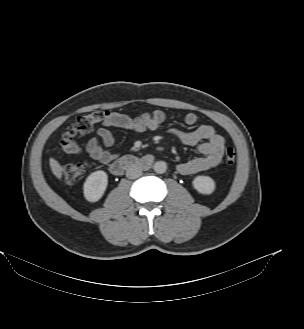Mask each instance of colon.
<instances>
[{"label":"colon","instance_id":"obj_1","mask_svg":"<svg viewBox=\"0 0 304 329\" xmlns=\"http://www.w3.org/2000/svg\"><path fill=\"white\" fill-rule=\"evenodd\" d=\"M108 112L96 111L91 114L78 117L75 122L63 133L60 140V149L65 154H76L80 151L77 138L90 132L95 126L103 123ZM226 163L234 164L236 160V152L232 148H228L225 154ZM85 163H71L61 167V177L65 184H71L80 179L85 173Z\"/></svg>","mask_w":304,"mask_h":329}]
</instances>
